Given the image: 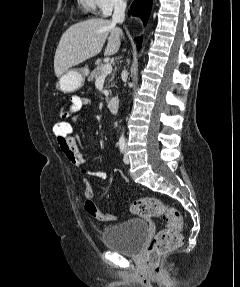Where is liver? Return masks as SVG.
Segmentation results:
<instances>
[{"label":"liver","instance_id":"1","mask_svg":"<svg viewBox=\"0 0 240 287\" xmlns=\"http://www.w3.org/2000/svg\"><path fill=\"white\" fill-rule=\"evenodd\" d=\"M122 36L120 28L111 20L93 18L76 23L62 35L54 57V71L60 77L70 67L99 54L108 39L105 55L119 50Z\"/></svg>","mask_w":240,"mask_h":287}]
</instances>
